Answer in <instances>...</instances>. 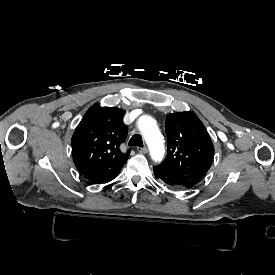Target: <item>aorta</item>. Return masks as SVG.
I'll return each instance as SVG.
<instances>
[{
	"label": "aorta",
	"mask_w": 275,
	"mask_h": 275,
	"mask_svg": "<svg viewBox=\"0 0 275 275\" xmlns=\"http://www.w3.org/2000/svg\"><path fill=\"white\" fill-rule=\"evenodd\" d=\"M137 127L149 146L152 160L161 161L164 156V146L156 120L150 115H142L137 121Z\"/></svg>",
	"instance_id": "762f6f07"
}]
</instances>
